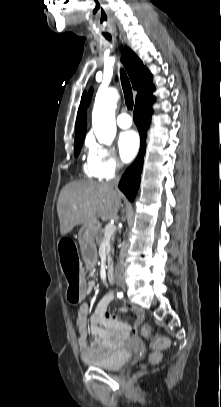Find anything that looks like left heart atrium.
I'll return each instance as SVG.
<instances>
[{"label":"left heart atrium","instance_id":"39dd6f15","mask_svg":"<svg viewBox=\"0 0 221 407\" xmlns=\"http://www.w3.org/2000/svg\"><path fill=\"white\" fill-rule=\"evenodd\" d=\"M118 147L122 160L124 162L131 161L139 149V137L137 133L133 130L121 133L118 139Z\"/></svg>","mask_w":221,"mask_h":407}]
</instances>
